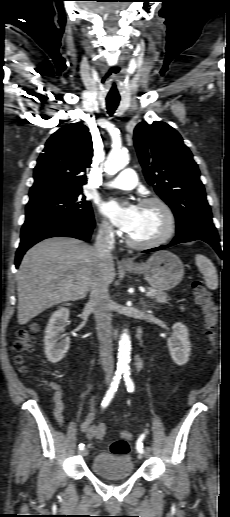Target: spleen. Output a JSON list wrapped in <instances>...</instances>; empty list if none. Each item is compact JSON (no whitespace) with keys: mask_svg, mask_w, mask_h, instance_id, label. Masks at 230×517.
I'll return each mask as SVG.
<instances>
[{"mask_svg":"<svg viewBox=\"0 0 230 517\" xmlns=\"http://www.w3.org/2000/svg\"><path fill=\"white\" fill-rule=\"evenodd\" d=\"M196 265L199 271L203 274L206 286L215 290L218 288V276L215 266L212 261L206 256L197 254L195 256Z\"/></svg>","mask_w":230,"mask_h":517,"instance_id":"1","label":"spleen"}]
</instances>
